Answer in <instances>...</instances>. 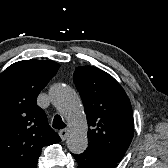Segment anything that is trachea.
Listing matches in <instances>:
<instances>
[{
  "label": "trachea",
  "mask_w": 168,
  "mask_h": 168,
  "mask_svg": "<svg viewBox=\"0 0 168 168\" xmlns=\"http://www.w3.org/2000/svg\"><path fill=\"white\" fill-rule=\"evenodd\" d=\"M52 126L55 129H63L66 127V124L63 122L62 118L59 115H56L53 119Z\"/></svg>",
  "instance_id": "obj_1"
}]
</instances>
